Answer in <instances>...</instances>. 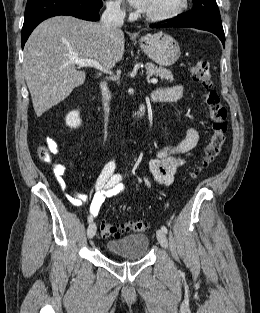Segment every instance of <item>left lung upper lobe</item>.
<instances>
[{"label":"left lung upper lobe","mask_w":260,"mask_h":313,"mask_svg":"<svg viewBox=\"0 0 260 313\" xmlns=\"http://www.w3.org/2000/svg\"><path fill=\"white\" fill-rule=\"evenodd\" d=\"M194 8L189 13L174 18L186 19L189 22L222 28L221 17L216 0H193Z\"/></svg>","instance_id":"obj_1"}]
</instances>
